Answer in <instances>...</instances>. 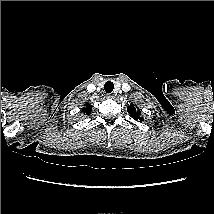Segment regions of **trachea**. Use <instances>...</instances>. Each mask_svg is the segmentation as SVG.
<instances>
[{
  "mask_svg": "<svg viewBox=\"0 0 214 214\" xmlns=\"http://www.w3.org/2000/svg\"><path fill=\"white\" fill-rule=\"evenodd\" d=\"M104 89L106 91V93H111L114 89V84L111 81H107L104 85Z\"/></svg>",
  "mask_w": 214,
  "mask_h": 214,
  "instance_id": "obj_1",
  "label": "trachea"
}]
</instances>
